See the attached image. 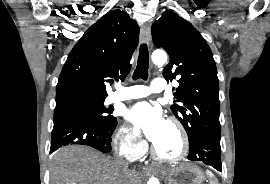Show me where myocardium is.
I'll return each instance as SVG.
<instances>
[{
  "mask_svg": "<svg viewBox=\"0 0 270 184\" xmlns=\"http://www.w3.org/2000/svg\"><path fill=\"white\" fill-rule=\"evenodd\" d=\"M167 122L175 127V129L177 130L180 136V140H181L180 152L174 157H165L161 155L159 151L157 150L156 146L153 145L152 154L158 161H161L163 163H168V164H176L184 160L185 157L187 156L188 151H189V138H188V134L185 127L177 118H174V117L169 118Z\"/></svg>",
  "mask_w": 270,
  "mask_h": 184,
  "instance_id": "obj_1",
  "label": "myocardium"
}]
</instances>
